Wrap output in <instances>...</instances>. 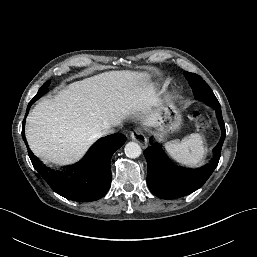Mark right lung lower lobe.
<instances>
[{
    "label": "right lung lower lobe",
    "mask_w": 257,
    "mask_h": 257,
    "mask_svg": "<svg viewBox=\"0 0 257 257\" xmlns=\"http://www.w3.org/2000/svg\"><path fill=\"white\" fill-rule=\"evenodd\" d=\"M24 127L25 122L22 124L23 136ZM125 141L126 138L121 134L101 138L77 164L64 168L50 167L31 151L28 153L34 168L56 193L69 200L90 202L102 198L108 192L112 179L111 157Z\"/></svg>",
    "instance_id": "obj_1"
}]
</instances>
